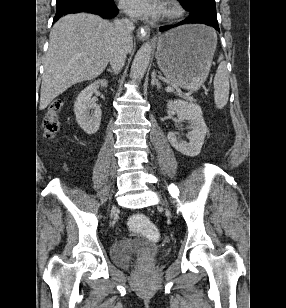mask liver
<instances>
[{
	"instance_id": "1",
	"label": "liver",
	"mask_w": 286,
	"mask_h": 308,
	"mask_svg": "<svg viewBox=\"0 0 286 308\" xmlns=\"http://www.w3.org/2000/svg\"><path fill=\"white\" fill-rule=\"evenodd\" d=\"M116 39L114 25L97 15L78 13L53 26L44 59L39 109L76 83L98 77L106 68ZM127 53L133 49L128 39Z\"/></svg>"
}]
</instances>
